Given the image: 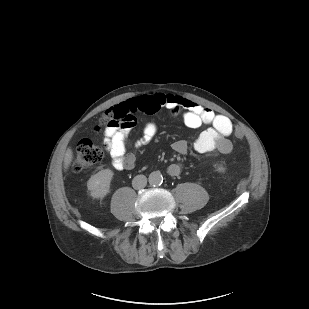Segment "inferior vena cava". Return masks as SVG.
<instances>
[{"label":"inferior vena cava","instance_id":"1","mask_svg":"<svg viewBox=\"0 0 309 309\" xmlns=\"http://www.w3.org/2000/svg\"><path fill=\"white\" fill-rule=\"evenodd\" d=\"M147 184V178L144 175H137L132 180V186L134 189L144 188Z\"/></svg>","mask_w":309,"mask_h":309}]
</instances>
